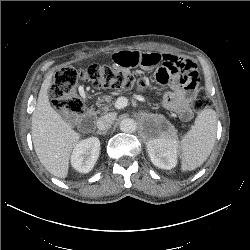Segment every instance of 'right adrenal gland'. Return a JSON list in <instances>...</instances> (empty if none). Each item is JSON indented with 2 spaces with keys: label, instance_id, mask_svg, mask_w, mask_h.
<instances>
[{
  "label": "right adrenal gland",
  "instance_id": "1",
  "mask_svg": "<svg viewBox=\"0 0 250 250\" xmlns=\"http://www.w3.org/2000/svg\"><path fill=\"white\" fill-rule=\"evenodd\" d=\"M96 133L99 134V135H105L107 133V131H103V132L102 131H97Z\"/></svg>",
  "mask_w": 250,
  "mask_h": 250
}]
</instances>
